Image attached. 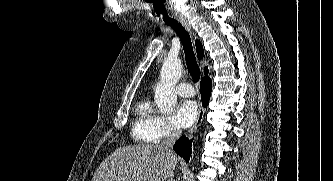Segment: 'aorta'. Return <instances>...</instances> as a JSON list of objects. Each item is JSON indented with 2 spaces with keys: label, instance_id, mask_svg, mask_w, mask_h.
Wrapping results in <instances>:
<instances>
[{
  "label": "aorta",
  "instance_id": "1",
  "mask_svg": "<svg viewBox=\"0 0 333 181\" xmlns=\"http://www.w3.org/2000/svg\"><path fill=\"white\" fill-rule=\"evenodd\" d=\"M182 73L180 59L167 58L161 68L160 80L155 89V104L161 113L171 112L177 103L175 86Z\"/></svg>",
  "mask_w": 333,
  "mask_h": 181
}]
</instances>
